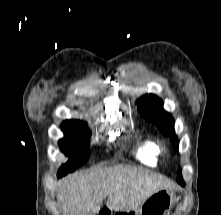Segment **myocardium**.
Listing matches in <instances>:
<instances>
[{
    "instance_id": "f54148a6",
    "label": "myocardium",
    "mask_w": 221,
    "mask_h": 215,
    "mask_svg": "<svg viewBox=\"0 0 221 215\" xmlns=\"http://www.w3.org/2000/svg\"><path fill=\"white\" fill-rule=\"evenodd\" d=\"M160 150H161L162 152H165V151H166V148L162 146V147L160 148Z\"/></svg>"
}]
</instances>
